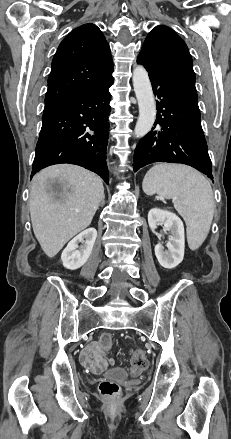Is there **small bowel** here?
<instances>
[{
  "label": "small bowel",
  "mask_w": 231,
  "mask_h": 439,
  "mask_svg": "<svg viewBox=\"0 0 231 439\" xmlns=\"http://www.w3.org/2000/svg\"><path fill=\"white\" fill-rule=\"evenodd\" d=\"M79 359L81 364L93 373L101 372L110 360L106 357L101 349L99 342H91L87 344L80 352Z\"/></svg>",
  "instance_id": "obj_1"
}]
</instances>
